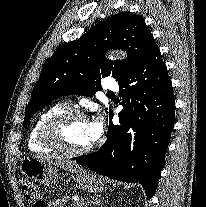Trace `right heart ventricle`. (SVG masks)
<instances>
[{
    "label": "right heart ventricle",
    "mask_w": 206,
    "mask_h": 207,
    "mask_svg": "<svg viewBox=\"0 0 206 207\" xmlns=\"http://www.w3.org/2000/svg\"><path fill=\"white\" fill-rule=\"evenodd\" d=\"M66 107L62 104L52 105L45 111H43L35 120L33 126L31 127L28 135V148L33 152H47L51 149L41 144L39 141V131L43 123L49 119L51 116L65 111Z\"/></svg>",
    "instance_id": "1"
}]
</instances>
